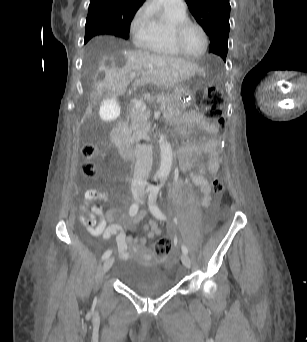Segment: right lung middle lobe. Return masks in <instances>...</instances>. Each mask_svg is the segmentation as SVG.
Segmentation results:
<instances>
[{"mask_svg":"<svg viewBox=\"0 0 307 342\" xmlns=\"http://www.w3.org/2000/svg\"><path fill=\"white\" fill-rule=\"evenodd\" d=\"M100 34H111L115 35L124 39L129 37V32L125 31H117V30H110L105 27L96 25L92 21L86 20V34H85V43L90 40L92 37Z\"/></svg>","mask_w":307,"mask_h":342,"instance_id":"right-lung-middle-lobe-1","label":"right lung middle lobe"}]
</instances>
